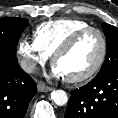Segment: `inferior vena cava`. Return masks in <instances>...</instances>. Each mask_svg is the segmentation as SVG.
<instances>
[{
  "label": "inferior vena cava",
  "instance_id": "1",
  "mask_svg": "<svg viewBox=\"0 0 118 118\" xmlns=\"http://www.w3.org/2000/svg\"><path fill=\"white\" fill-rule=\"evenodd\" d=\"M20 65L21 68L28 73H33L36 69V63L31 59H23Z\"/></svg>",
  "mask_w": 118,
  "mask_h": 118
}]
</instances>
